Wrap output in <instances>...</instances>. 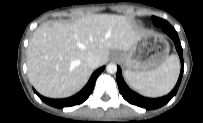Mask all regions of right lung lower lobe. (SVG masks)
I'll use <instances>...</instances> for the list:
<instances>
[{
	"label": "right lung lower lobe",
	"mask_w": 203,
	"mask_h": 123,
	"mask_svg": "<svg viewBox=\"0 0 203 123\" xmlns=\"http://www.w3.org/2000/svg\"><path fill=\"white\" fill-rule=\"evenodd\" d=\"M104 68L105 67L103 66V67L99 68L98 70H96L92 74V76L89 79L86 86L79 93H77L76 95H74L70 98H67V99H49V98L41 96L35 90H34V92L39 96V98L42 101H44L48 105H51V106L56 107V108H63V107H70V106L79 105V104L83 103L84 101H86L87 98L90 96V94L93 91L95 81H96L97 77L99 76V74L104 70Z\"/></svg>",
	"instance_id": "obj_1"
}]
</instances>
